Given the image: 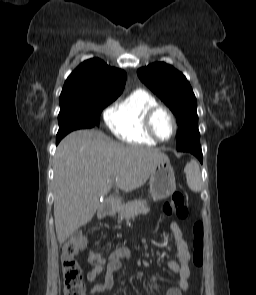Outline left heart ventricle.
<instances>
[{
	"mask_svg": "<svg viewBox=\"0 0 256 295\" xmlns=\"http://www.w3.org/2000/svg\"><path fill=\"white\" fill-rule=\"evenodd\" d=\"M154 128L162 139H169L173 133V124L169 116L164 112H159L154 118Z\"/></svg>",
	"mask_w": 256,
	"mask_h": 295,
	"instance_id": "obj_1",
	"label": "left heart ventricle"
}]
</instances>
